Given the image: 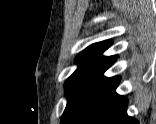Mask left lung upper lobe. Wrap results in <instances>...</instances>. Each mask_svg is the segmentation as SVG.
I'll use <instances>...</instances> for the list:
<instances>
[{"label":"left lung upper lobe","instance_id":"obj_1","mask_svg":"<svg viewBox=\"0 0 156 124\" xmlns=\"http://www.w3.org/2000/svg\"><path fill=\"white\" fill-rule=\"evenodd\" d=\"M111 44V41L92 44L76 57L79 67L65 82L68 98L61 124H78L109 81L110 78L104 77L103 73L117 56L104 57L101 54Z\"/></svg>","mask_w":156,"mask_h":124}]
</instances>
